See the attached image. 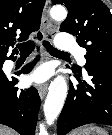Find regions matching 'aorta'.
I'll return each mask as SVG.
<instances>
[{
  "mask_svg": "<svg viewBox=\"0 0 112 135\" xmlns=\"http://www.w3.org/2000/svg\"><path fill=\"white\" fill-rule=\"evenodd\" d=\"M67 11L63 6L53 7L51 17L55 20H64ZM67 97V82L65 77L58 75L50 84L49 92L44 103V116L48 124L59 116Z\"/></svg>",
  "mask_w": 112,
  "mask_h": 135,
  "instance_id": "762f6f07",
  "label": "aorta"
}]
</instances>
